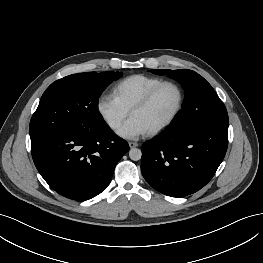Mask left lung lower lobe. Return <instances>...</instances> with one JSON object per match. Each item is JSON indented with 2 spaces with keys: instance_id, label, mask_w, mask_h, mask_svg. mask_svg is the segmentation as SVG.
<instances>
[{
  "instance_id": "left-lung-lower-lobe-1",
  "label": "left lung lower lobe",
  "mask_w": 263,
  "mask_h": 263,
  "mask_svg": "<svg viewBox=\"0 0 263 263\" xmlns=\"http://www.w3.org/2000/svg\"><path fill=\"white\" fill-rule=\"evenodd\" d=\"M228 146V123L193 132L167 127L142 146L141 171L157 191L183 197L204 187L214 176Z\"/></svg>"
}]
</instances>
